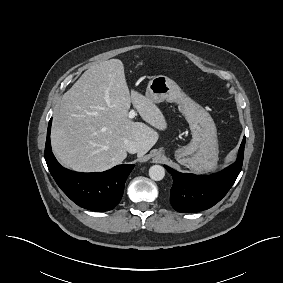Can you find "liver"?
<instances>
[{"instance_id": "1", "label": "liver", "mask_w": 283, "mask_h": 283, "mask_svg": "<svg viewBox=\"0 0 283 283\" xmlns=\"http://www.w3.org/2000/svg\"><path fill=\"white\" fill-rule=\"evenodd\" d=\"M131 103L142 119L158 130L167 128L162 111L146 96L129 92L119 59L100 62L62 96L51 131L52 149L62 165L80 172H100L126 157L125 140L135 141L138 156L158 141L156 130L128 117Z\"/></svg>"}]
</instances>
